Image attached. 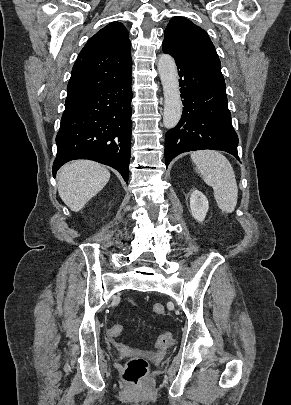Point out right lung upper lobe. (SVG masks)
Masks as SVG:
<instances>
[{
  "mask_svg": "<svg viewBox=\"0 0 291 405\" xmlns=\"http://www.w3.org/2000/svg\"><path fill=\"white\" fill-rule=\"evenodd\" d=\"M130 49L128 31L120 22H112L92 36L73 66L65 105L130 75Z\"/></svg>",
  "mask_w": 291,
  "mask_h": 405,
  "instance_id": "1",
  "label": "right lung upper lobe"
}]
</instances>
